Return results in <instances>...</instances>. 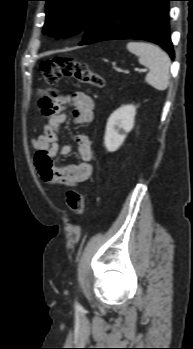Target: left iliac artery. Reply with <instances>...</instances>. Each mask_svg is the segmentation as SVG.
Here are the masks:
<instances>
[{
  "mask_svg": "<svg viewBox=\"0 0 193 349\" xmlns=\"http://www.w3.org/2000/svg\"><path fill=\"white\" fill-rule=\"evenodd\" d=\"M76 306H77V307H80V305H79L78 303H76Z\"/></svg>",
  "mask_w": 193,
  "mask_h": 349,
  "instance_id": "44dca946",
  "label": "left iliac artery"
}]
</instances>
